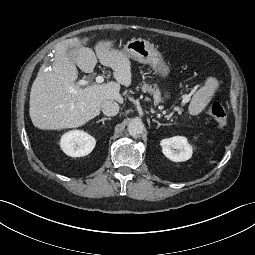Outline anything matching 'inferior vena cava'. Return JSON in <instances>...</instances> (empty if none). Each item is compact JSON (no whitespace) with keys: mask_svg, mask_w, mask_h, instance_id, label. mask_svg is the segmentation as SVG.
I'll list each match as a JSON object with an SVG mask.
<instances>
[{"mask_svg":"<svg viewBox=\"0 0 255 255\" xmlns=\"http://www.w3.org/2000/svg\"><path fill=\"white\" fill-rule=\"evenodd\" d=\"M101 110L106 116H115L119 112V105L113 100H105L101 104Z\"/></svg>","mask_w":255,"mask_h":255,"instance_id":"inferior-vena-cava-1","label":"inferior vena cava"}]
</instances>
